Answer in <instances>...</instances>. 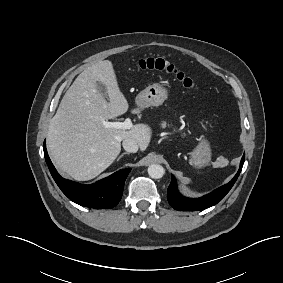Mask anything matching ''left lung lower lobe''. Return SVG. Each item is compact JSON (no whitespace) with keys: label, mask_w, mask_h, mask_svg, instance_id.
I'll use <instances>...</instances> for the list:
<instances>
[{"label":"left lung lower lobe","mask_w":283,"mask_h":283,"mask_svg":"<svg viewBox=\"0 0 283 283\" xmlns=\"http://www.w3.org/2000/svg\"><path fill=\"white\" fill-rule=\"evenodd\" d=\"M244 157L245 154L241 159L240 168L237 174L228 184L223 185L220 188L216 189L215 191L211 192L210 194H207L200 198L192 199L182 196L177 189L176 179L172 176V181L168 187V192H167V199L169 204L174 209L182 210V211H198L209 208L217 204L225 197V195L230 191V189L236 182L243 167Z\"/></svg>","instance_id":"left-lung-lower-lobe-1"}]
</instances>
